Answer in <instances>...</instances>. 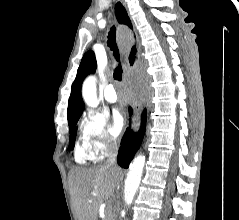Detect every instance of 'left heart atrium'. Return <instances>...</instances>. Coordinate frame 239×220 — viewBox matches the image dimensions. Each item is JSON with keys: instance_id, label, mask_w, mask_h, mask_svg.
I'll return each mask as SVG.
<instances>
[{"instance_id": "left-heart-atrium-1", "label": "left heart atrium", "mask_w": 239, "mask_h": 220, "mask_svg": "<svg viewBox=\"0 0 239 220\" xmlns=\"http://www.w3.org/2000/svg\"><path fill=\"white\" fill-rule=\"evenodd\" d=\"M124 124L125 119L123 115L118 110H115L112 114V124L110 127V133L115 137L118 136L122 131Z\"/></svg>"}]
</instances>
